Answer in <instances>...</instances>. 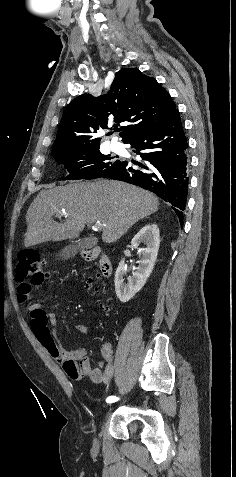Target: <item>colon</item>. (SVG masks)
Wrapping results in <instances>:
<instances>
[{
	"label": "colon",
	"instance_id": "obj_1",
	"mask_svg": "<svg viewBox=\"0 0 236 477\" xmlns=\"http://www.w3.org/2000/svg\"><path fill=\"white\" fill-rule=\"evenodd\" d=\"M16 278L19 282L18 295L21 302H28L34 288L42 286L47 279L41 264V255L38 251L29 249L18 254ZM89 289L95 293L99 288L92 279L87 282Z\"/></svg>",
	"mask_w": 236,
	"mask_h": 477
}]
</instances>
